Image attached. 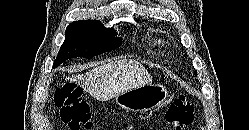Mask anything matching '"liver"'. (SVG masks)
<instances>
[{"mask_svg":"<svg viewBox=\"0 0 249 130\" xmlns=\"http://www.w3.org/2000/svg\"><path fill=\"white\" fill-rule=\"evenodd\" d=\"M67 79L81 81V86L99 101H108L121 93L152 83V77L144 66L127 59L112 61Z\"/></svg>","mask_w":249,"mask_h":130,"instance_id":"liver-1","label":"liver"}]
</instances>
